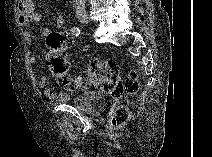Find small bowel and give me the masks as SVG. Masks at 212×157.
<instances>
[{"label":"small bowel","mask_w":212,"mask_h":157,"mask_svg":"<svg viewBox=\"0 0 212 157\" xmlns=\"http://www.w3.org/2000/svg\"><path fill=\"white\" fill-rule=\"evenodd\" d=\"M40 20V14L36 11L35 6L33 2L31 1H22L19 3V9H18V22L19 25L23 28H27L31 23H36ZM55 25L57 28H62L64 25V16L62 14H59L55 20ZM51 30L48 27H45L42 29V35L48 36L50 34ZM25 40L28 44H31L33 41L32 34L26 30L24 32ZM88 48L86 46H83L80 48L81 52H86ZM30 64H34L36 62V57L31 56L29 58ZM38 87L43 90V95L47 99V101L52 104H59L63 103L67 100L68 95L66 93H60L56 94L52 92L47 87V77L43 76L38 80Z\"/></svg>","instance_id":"obj_1"}]
</instances>
